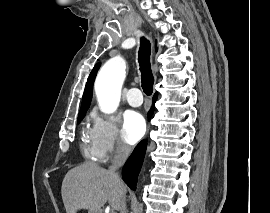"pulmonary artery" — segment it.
I'll list each match as a JSON object with an SVG mask.
<instances>
[{
	"mask_svg": "<svg viewBox=\"0 0 270 213\" xmlns=\"http://www.w3.org/2000/svg\"><path fill=\"white\" fill-rule=\"evenodd\" d=\"M126 100L131 106H140L143 102L141 91L138 88L129 89L126 93Z\"/></svg>",
	"mask_w": 270,
	"mask_h": 213,
	"instance_id": "pulmonary-artery-1",
	"label": "pulmonary artery"
}]
</instances>
